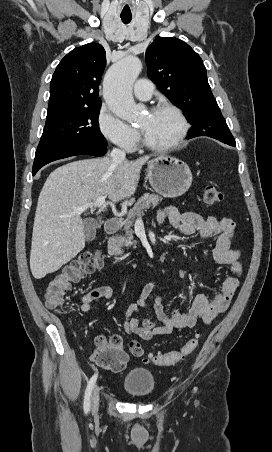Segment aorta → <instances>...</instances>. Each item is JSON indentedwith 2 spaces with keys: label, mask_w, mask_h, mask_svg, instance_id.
<instances>
[{
  "label": "aorta",
  "mask_w": 272,
  "mask_h": 452,
  "mask_svg": "<svg viewBox=\"0 0 272 452\" xmlns=\"http://www.w3.org/2000/svg\"><path fill=\"white\" fill-rule=\"evenodd\" d=\"M141 70L140 59L128 56L115 63L104 77V100L109 109L122 120L131 121L138 115V108L132 96V86Z\"/></svg>",
  "instance_id": "762f6f07"
}]
</instances>
